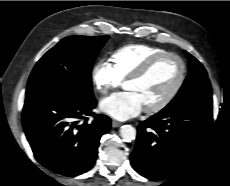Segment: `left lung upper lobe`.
<instances>
[{
    "instance_id": "obj_1",
    "label": "left lung upper lobe",
    "mask_w": 230,
    "mask_h": 186,
    "mask_svg": "<svg viewBox=\"0 0 230 186\" xmlns=\"http://www.w3.org/2000/svg\"><path fill=\"white\" fill-rule=\"evenodd\" d=\"M189 60V75L176 97L163 109L174 110L186 104L212 100V90L207 72L202 64L185 51Z\"/></svg>"
}]
</instances>
